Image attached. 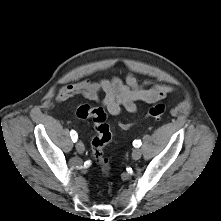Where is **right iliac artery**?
I'll return each instance as SVG.
<instances>
[{
	"label": "right iliac artery",
	"mask_w": 221,
	"mask_h": 221,
	"mask_svg": "<svg viewBox=\"0 0 221 221\" xmlns=\"http://www.w3.org/2000/svg\"><path fill=\"white\" fill-rule=\"evenodd\" d=\"M70 136H71L73 142H76L78 136H77V133L74 130H72L70 132Z\"/></svg>",
	"instance_id": "1"
}]
</instances>
